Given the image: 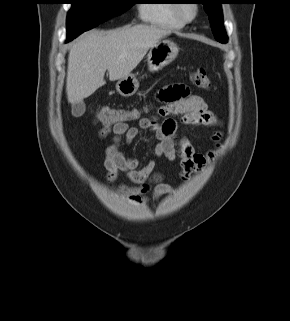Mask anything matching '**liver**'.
<instances>
[{
	"instance_id": "liver-1",
	"label": "liver",
	"mask_w": 290,
	"mask_h": 321,
	"mask_svg": "<svg viewBox=\"0 0 290 321\" xmlns=\"http://www.w3.org/2000/svg\"><path fill=\"white\" fill-rule=\"evenodd\" d=\"M170 32L156 26L136 25L84 33L68 55L66 93L70 103L82 102L99 87L120 80L141 62L147 51Z\"/></svg>"
}]
</instances>
